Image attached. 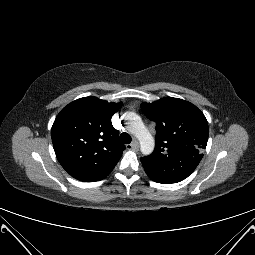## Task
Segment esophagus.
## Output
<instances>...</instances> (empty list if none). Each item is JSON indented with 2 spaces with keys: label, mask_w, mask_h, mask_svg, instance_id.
Instances as JSON below:
<instances>
[{
  "label": "esophagus",
  "mask_w": 255,
  "mask_h": 255,
  "mask_svg": "<svg viewBox=\"0 0 255 255\" xmlns=\"http://www.w3.org/2000/svg\"><path fill=\"white\" fill-rule=\"evenodd\" d=\"M126 148H127L128 150L137 151L138 148H139L138 142H137V141H134V142H132L131 144H127V145H126Z\"/></svg>",
  "instance_id": "esophagus-1"
}]
</instances>
